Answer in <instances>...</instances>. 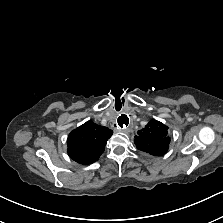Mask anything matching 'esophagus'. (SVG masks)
Instances as JSON below:
<instances>
[{"mask_svg":"<svg viewBox=\"0 0 223 223\" xmlns=\"http://www.w3.org/2000/svg\"><path fill=\"white\" fill-rule=\"evenodd\" d=\"M116 125L119 129L126 130L130 127L131 120L128 116L123 114L117 118Z\"/></svg>","mask_w":223,"mask_h":223,"instance_id":"esophagus-1","label":"esophagus"}]
</instances>
